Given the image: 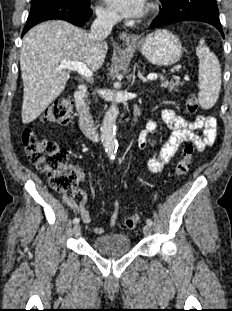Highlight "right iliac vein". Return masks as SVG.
I'll use <instances>...</instances> for the list:
<instances>
[{
	"label": "right iliac vein",
	"mask_w": 232,
	"mask_h": 311,
	"mask_svg": "<svg viewBox=\"0 0 232 311\" xmlns=\"http://www.w3.org/2000/svg\"><path fill=\"white\" fill-rule=\"evenodd\" d=\"M74 233H75V235H79V233H80V225L79 224H76L74 226Z\"/></svg>",
	"instance_id": "obj_1"
}]
</instances>
